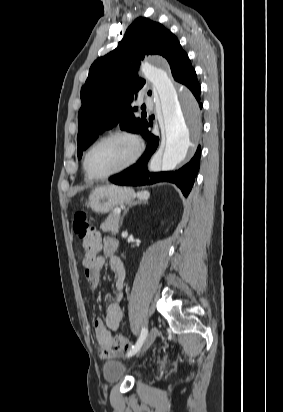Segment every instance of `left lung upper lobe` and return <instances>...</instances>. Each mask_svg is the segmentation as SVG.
<instances>
[{"instance_id": "left-lung-upper-lobe-1", "label": "left lung upper lobe", "mask_w": 283, "mask_h": 412, "mask_svg": "<svg viewBox=\"0 0 283 412\" xmlns=\"http://www.w3.org/2000/svg\"><path fill=\"white\" fill-rule=\"evenodd\" d=\"M159 54L170 64L174 79L180 82L193 67L177 38L161 24L137 18L127 29L118 47L97 59L81 89L82 107L78 113V158L99 134L120 124L122 130L141 133L148 122L136 118L131 107L145 81L136 74L139 61ZM151 95V91L148 92Z\"/></svg>"}]
</instances>
